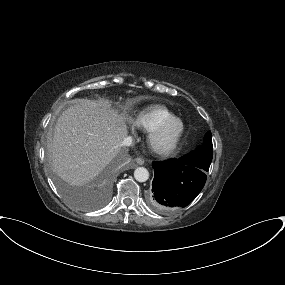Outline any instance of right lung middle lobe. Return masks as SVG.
<instances>
[{
	"mask_svg": "<svg viewBox=\"0 0 285 285\" xmlns=\"http://www.w3.org/2000/svg\"><path fill=\"white\" fill-rule=\"evenodd\" d=\"M61 190L68 196L71 197L70 193L67 191L66 187H64V185H62L61 183H59Z\"/></svg>",
	"mask_w": 285,
	"mask_h": 285,
	"instance_id": "obj_1",
	"label": "right lung middle lobe"
}]
</instances>
